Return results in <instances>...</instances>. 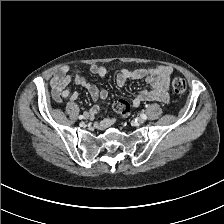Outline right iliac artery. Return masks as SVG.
Here are the masks:
<instances>
[{"label": "right iliac artery", "instance_id": "1", "mask_svg": "<svg viewBox=\"0 0 224 224\" xmlns=\"http://www.w3.org/2000/svg\"><path fill=\"white\" fill-rule=\"evenodd\" d=\"M83 118H84V115H80V116H79V119H83Z\"/></svg>", "mask_w": 224, "mask_h": 224}]
</instances>
